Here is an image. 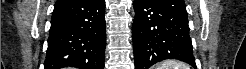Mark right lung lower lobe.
<instances>
[{
  "instance_id": "obj_1",
  "label": "right lung lower lobe",
  "mask_w": 246,
  "mask_h": 69,
  "mask_svg": "<svg viewBox=\"0 0 246 69\" xmlns=\"http://www.w3.org/2000/svg\"><path fill=\"white\" fill-rule=\"evenodd\" d=\"M105 0H58L44 69H104Z\"/></svg>"
}]
</instances>
